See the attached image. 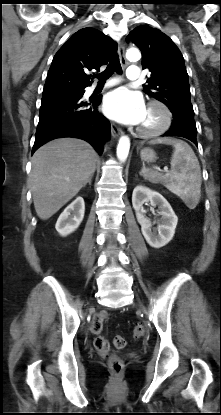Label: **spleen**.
Returning a JSON list of instances; mask_svg holds the SVG:
<instances>
[{"label": "spleen", "instance_id": "obj_1", "mask_svg": "<svg viewBox=\"0 0 221 415\" xmlns=\"http://www.w3.org/2000/svg\"><path fill=\"white\" fill-rule=\"evenodd\" d=\"M150 144H167L174 147L171 170L166 174L143 168L141 175L151 183L163 184L169 191L179 196L190 208H194L201 196V170L192 148L185 142L173 138H160Z\"/></svg>", "mask_w": 221, "mask_h": 415}]
</instances>
